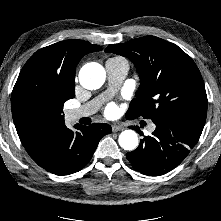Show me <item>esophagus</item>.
Listing matches in <instances>:
<instances>
[{"label": "esophagus", "instance_id": "1", "mask_svg": "<svg viewBox=\"0 0 221 221\" xmlns=\"http://www.w3.org/2000/svg\"><path fill=\"white\" fill-rule=\"evenodd\" d=\"M121 130H124V127L121 126V125H113L112 126V131L113 132H117V131H121Z\"/></svg>", "mask_w": 221, "mask_h": 221}]
</instances>
